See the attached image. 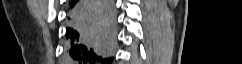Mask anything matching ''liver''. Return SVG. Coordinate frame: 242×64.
<instances>
[{
    "instance_id": "1",
    "label": "liver",
    "mask_w": 242,
    "mask_h": 64,
    "mask_svg": "<svg viewBox=\"0 0 242 64\" xmlns=\"http://www.w3.org/2000/svg\"><path fill=\"white\" fill-rule=\"evenodd\" d=\"M83 27L89 32L90 36L92 34H102L107 30L100 12L97 10L92 11L89 17L84 21Z\"/></svg>"
}]
</instances>
